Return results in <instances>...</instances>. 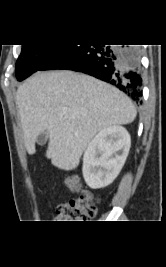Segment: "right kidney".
<instances>
[{
    "mask_svg": "<svg viewBox=\"0 0 166 267\" xmlns=\"http://www.w3.org/2000/svg\"><path fill=\"white\" fill-rule=\"evenodd\" d=\"M131 138L122 126L101 130L89 143L83 156V177L93 189L113 182L121 171L129 153Z\"/></svg>",
    "mask_w": 166,
    "mask_h": 267,
    "instance_id": "ca27d5eb",
    "label": "right kidney"
}]
</instances>
